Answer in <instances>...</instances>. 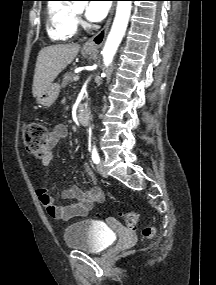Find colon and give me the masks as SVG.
Here are the masks:
<instances>
[{"instance_id": "5ec220e1", "label": "colon", "mask_w": 216, "mask_h": 285, "mask_svg": "<svg viewBox=\"0 0 216 285\" xmlns=\"http://www.w3.org/2000/svg\"><path fill=\"white\" fill-rule=\"evenodd\" d=\"M47 128L38 122H31L26 125L23 132V143L27 152L38 159H43L47 154ZM126 225L135 228L138 223V214L134 211L126 212L123 215ZM145 238H152L155 234L153 226H146L142 230Z\"/></svg>"}]
</instances>
